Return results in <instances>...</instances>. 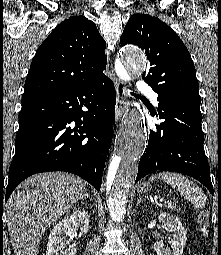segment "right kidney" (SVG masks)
<instances>
[{
	"mask_svg": "<svg viewBox=\"0 0 221 255\" xmlns=\"http://www.w3.org/2000/svg\"><path fill=\"white\" fill-rule=\"evenodd\" d=\"M78 228L83 234L88 232L89 215L85 210H76L55 225L48 237L46 255H75L76 247H71L67 251L63 249L65 236H71Z\"/></svg>",
	"mask_w": 221,
	"mask_h": 255,
	"instance_id": "ca27d5eb",
	"label": "right kidney"
}]
</instances>
